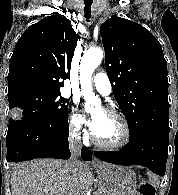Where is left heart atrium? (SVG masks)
Returning a JSON list of instances; mask_svg holds the SVG:
<instances>
[{
    "label": "left heart atrium",
    "instance_id": "left-heart-atrium-1",
    "mask_svg": "<svg viewBox=\"0 0 178 195\" xmlns=\"http://www.w3.org/2000/svg\"><path fill=\"white\" fill-rule=\"evenodd\" d=\"M89 126L90 128L92 129V131L94 132L97 128V125H98V122L97 120H95L94 118H92L90 121H89Z\"/></svg>",
    "mask_w": 178,
    "mask_h": 195
}]
</instances>
